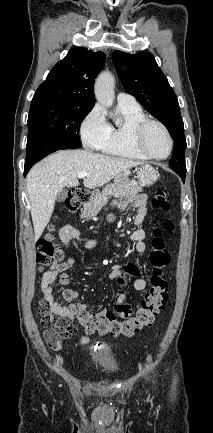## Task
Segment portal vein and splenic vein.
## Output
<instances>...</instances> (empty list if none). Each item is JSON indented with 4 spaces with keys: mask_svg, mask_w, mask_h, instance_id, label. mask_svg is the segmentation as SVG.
<instances>
[{
    "mask_svg": "<svg viewBox=\"0 0 213 433\" xmlns=\"http://www.w3.org/2000/svg\"><path fill=\"white\" fill-rule=\"evenodd\" d=\"M87 175H88L87 172H80V173H78V178L81 179V178L86 177Z\"/></svg>",
    "mask_w": 213,
    "mask_h": 433,
    "instance_id": "obj_1",
    "label": "portal vein and splenic vein"
}]
</instances>
